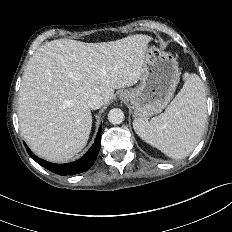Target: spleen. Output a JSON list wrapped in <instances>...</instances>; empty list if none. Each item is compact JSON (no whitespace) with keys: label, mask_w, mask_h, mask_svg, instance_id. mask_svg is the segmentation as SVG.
Here are the masks:
<instances>
[{"label":"spleen","mask_w":232,"mask_h":232,"mask_svg":"<svg viewBox=\"0 0 232 232\" xmlns=\"http://www.w3.org/2000/svg\"><path fill=\"white\" fill-rule=\"evenodd\" d=\"M207 123L204 85L198 75L184 74V85L166 111L150 121L136 118L135 132L173 159L188 156L201 140Z\"/></svg>","instance_id":"obj_1"}]
</instances>
